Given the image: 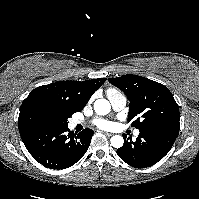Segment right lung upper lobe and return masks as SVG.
<instances>
[{"label": "right lung upper lobe", "mask_w": 199, "mask_h": 199, "mask_svg": "<svg viewBox=\"0 0 199 199\" xmlns=\"http://www.w3.org/2000/svg\"><path fill=\"white\" fill-rule=\"evenodd\" d=\"M106 78L91 79L86 81H59L35 88L29 96L23 100L20 109V120L24 114L32 108L61 104L70 111L77 112L84 108L91 95L97 90ZM20 131L25 128L19 126Z\"/></svg>", "instance_id": "cb5924a9"}]
</instances>
